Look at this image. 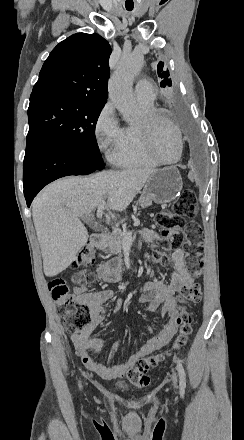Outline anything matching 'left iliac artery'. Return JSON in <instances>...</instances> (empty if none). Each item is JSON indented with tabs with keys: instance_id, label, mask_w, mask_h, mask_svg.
I'll return each instance as SVG.
<instances>
[{
	"instance_id": "left-iliac-artery-1",
	"label": "left iliac artery",
	"mask_w": 244,
	"mask_h": 440,
	"mask_svg": "<svg viewBox=\"0 0 244 440\" xmlns=\"http://www.w3.org/2000/svg\"><path fill=\"white\" fill-rule=\"evenodd\" d=\"M177 364V371L179 374V385H180V390L184 391L186 388V374H185V370L183 365L179 362L176 361Z\"/></svg>"
}]
</instances>
